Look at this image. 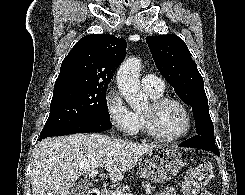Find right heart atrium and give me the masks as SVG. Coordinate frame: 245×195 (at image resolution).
Instances as JSON below:
<instances>
[{
	"instance_id": "d8ad5b80",
	"label": "right heart atrium",
	"mask_w": 245,
	"mask_h": 195,
	"mask_svg": "<svg viewBox=\"0 0 245 195\" xmlns=\"http://www.w3.org/2000/svg\"><path fill=\"white\" fill-rule=\"evenodd\" d=\"M105 109L112 127L123 135H131L136 129L135 113L126 105L123 97L115 88L105 95Z\"/></svg>"
}]
</instances>
